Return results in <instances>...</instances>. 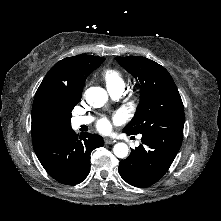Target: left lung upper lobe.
<instances>
[{"label": "left lung upper lobe", "instance_id": "1", "mask_svg": "<svg viewBox=\"0 0 221 221\" xmlns=\"http://www.w3.org/2000/svg\"><path fill=\"white\" fill-rule=\"evenodd\" d=\"M116 60L140 82V104L123 131L182 142L184 107L168 71L141 56L116 57Z\"/></svg>", "mask_w": 221, "mask_h": 221}]
</instances>
